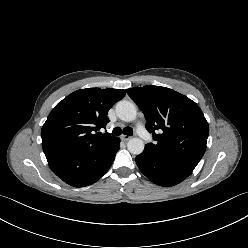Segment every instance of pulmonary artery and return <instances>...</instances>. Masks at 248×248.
<instances>
[{"mask_svg": "<svg viewBox=\"0 0 248 248\" xmlns=\"http://www.w3.org/2000/svg\"><path fill=\"white\" fill-rule=\"evenodd\" d=\"M137 132L139 136L146 141L152 138L151 134L149 133V131L146 129L145 125L142 122H139L137 124Z\"/></svg>", "mask_w": 248, "mask_h": 248, "instance_id": "obj_1", "label": "pulmonary artery"}]
</instances>
